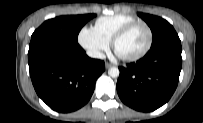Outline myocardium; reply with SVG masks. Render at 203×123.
<instances>
[{
	"instance_id": "myocardium-1",
	"label": "myocardium",
	"mask_w": 203,
	"mask_h": 123,
	"mask_svg": "<svg viewBox=\"0 0 203 123\" xmlns=\"http://www.w3.org/2000/svg\"><path fill=\"white\" fill-rule=\"evenodd\" d=\"M142 25L145 27V29L147 30L148 33V41L147 44L145 46V48L140 51L139 53L132 55V56H121L117 53L116 51V46L117 43L123 38L125 37L133 28H135L136 26ZM152 43H153V32L151 27L142 20H137L134 21L130 24H127L126 26H124L122 29H120L113 37L112 41H111V45H112V49L113 51L118 55V57L124 61H136L141 59L142 57H144L151 49L152 47Z\"/></svg>"
}]
</instances>
